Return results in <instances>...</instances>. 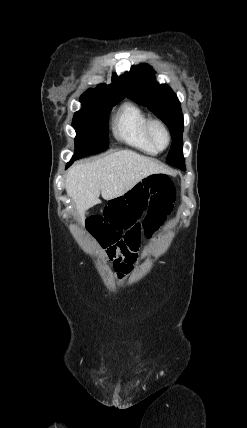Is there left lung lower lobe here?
Instances as JSON below:
<instances>
[{
	"label": "left lung lower lobe",
	"instance_id": "0a47b994",
	"mask_svg": "<svg viewBox=\"0 0 247 428\" xmlns=\"http://www.w3.org/2000/svg\"><path fill=\"white\" fill-rule=\"evenodd\" d=\"M175 167H178V168H180L181 170H186L185 165H178V166H175Z\"/></svg>",
	"mask_w": 247,
	"mask_h": 428
}]
</instances>
